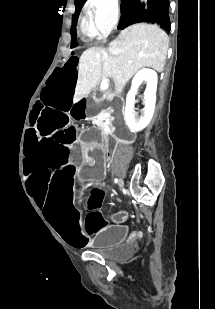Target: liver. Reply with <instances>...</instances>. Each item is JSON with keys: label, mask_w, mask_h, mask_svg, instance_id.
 I'll return each mask as SVG.
<instances>
[{"label": "liver", "mask_w": 215, "mask_h": 309, "mask_svg": "<svg viewBox=\"0 0 215 309\" xmlns=\"http://www.w3.org/2000/svg\"><path fill=\"white\" fill-rule=\"evenodd\" d=\"M168 46V34L158 24L137 22L121 30L108 48H87L80 56L73 102L88 96L104 78H113L120 94L139 68L151 66L162 72Z\"/></svg>", "instance_id": "liver-1"}]
</instances>
